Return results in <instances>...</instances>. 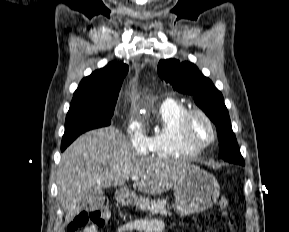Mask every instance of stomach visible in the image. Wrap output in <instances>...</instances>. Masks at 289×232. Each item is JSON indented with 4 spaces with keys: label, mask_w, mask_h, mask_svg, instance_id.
Instances as JSON below:
<instances>
[{
    "label": "stomach",
    "mask_w": 289,
    "mask_h": 232,
    "mask_svg": "<svg viewBox=\"0 0 289 232\" xmlns=\"http://www.w3.org/2000/svg\"><path fill=\"white\" fill-rule=\"evenodd\" d=\"M174 189V208L181 215H187L212 207L219 197L220 186L212 174L194 166L177 182ZM117 200L122 203L133 202L140 210H145L151 203L149 198H136L122 193L117 195Z\"/></svg>",
    "instance_id": "obj_1"
}]
</instances>
